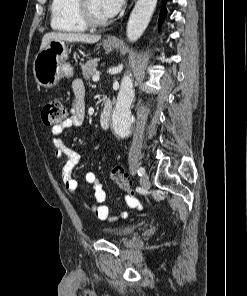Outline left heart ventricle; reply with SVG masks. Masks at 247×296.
Returning <instances> with one entry per match:
<instances>
[{"mask_svg": "<svg viewBox=\"0 0 247 296\" xmlns=\"http://www.w3.org/2000/svg\"><path fill=\"white\" fill-rule=\"evenodd\" d=\"M88 8L93 18L97 20L107 19L101 12L100 0H88Z\"/></svg>", "mask_w": 247, "mask_h": 296, "instance_id": "left-heart-ventricle-1", "label": "left heart ventricle"}]
</instances>
